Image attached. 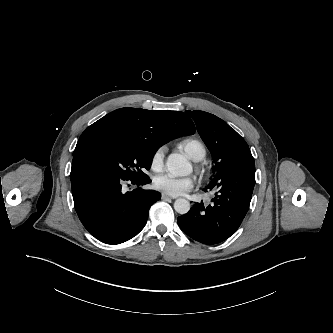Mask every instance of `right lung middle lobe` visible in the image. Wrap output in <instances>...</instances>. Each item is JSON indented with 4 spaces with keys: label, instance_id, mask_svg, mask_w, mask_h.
Returning a JSON list of instances; mask_svg holds the SVG:
<instances>
[{
    "label": "right lung middle lobe",
    "instance_id": "right-lung-middle-lobe-1",
    "mask_svg": "<svg viewBox=\"0 0 333 333\" xmlns=\"http://www.w3.org/2000/svg\"><path fill=\"white\" fill-rule=\"evenodd\" d=\"M157 147L123 136L97 134L80 138L73 156L100 163L126 179H146Z\"/></svg>",
    "mask_w": 333,
    "mask_h": 333
}]
</instances>
